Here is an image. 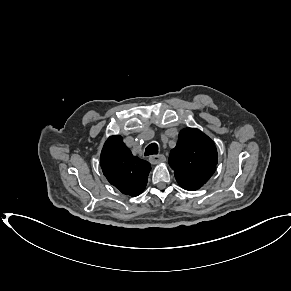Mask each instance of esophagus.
Instances as JSON below:
<instances>
[{"instance_id":"1","label":"esophagus","mask_w":291,"mask_h":291,"mask_svg":"<svg viewBox=\"0 0 291 291\" xmlns=\"http://www.w3.org/2000/svg\"><path fill=\"white\" fill-rule=\"evenodd\" d=\"M149 161L151 164H159L166 161V157L163 154L152 155L149 157Z\"/></svg>"}]
</instances>
